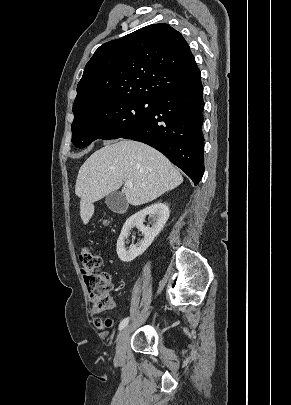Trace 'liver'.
Returning <instances> with one entry per match:
<instances>
[{
    "mask_svg": "<svg viewBox=\"0 0 291 405\" xmlns=\"http://www.w3.org/2000/svg\"><path fill=\"white\" fill-rule=\"evenodd\" d=\"M129 204L148 203L183 182L171 162L154 148L137 141L120 140L94 152L81 166L75 185L80 198V217L87 224L94 213V203L118 190L123 182Z\"/></svg>",
    "mask_w": 291,
    "mask_h": 405,
    "instance_id": "obj_1",
    "label": "liver"
}]
</instances>
